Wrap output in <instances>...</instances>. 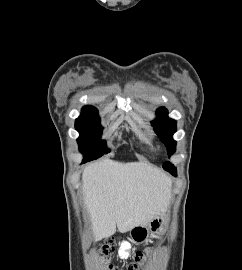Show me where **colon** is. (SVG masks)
Masks as SVG:
<instances>
[{"instance_id":"1","label":"colon","mask_w":242,"mask_h":270,"mask_svg":"<svg viewBox=\"0 0 242 270\" xmlns=\"http://www.w3.org/2000/svg\"><path fill=\"white\" fill-rule=\"evenodd\" d=\"M115 241L111 238L104 240L99 246V253L103 258V265L108 270H116L114 265L110 262V257L114 252ZM150 254V250H144L137 252L134 256V260L129 264L127 270H140L144 265L147 257Z\"/></svg>"}]
</instances>
